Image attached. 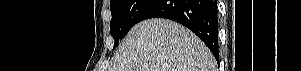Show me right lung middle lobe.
I'll list each match as a JSON object with an SVG mask.
<instances>
[{
  "mask_svg": "<svg viewBox=\"0 0 301 71\" xmlns=\"http://www.w3.org/2000/svg\"><path fill=\"white\" fill-rule=\"evenodd\" d=\"M155 0H111L110 32L114 47L140 21V16Z\"/></svg>",
  "mask_w": 301,
  "mask_h": 71,
  "instance_id": "dd1d6c3e",
  "label": "right lung middle lobe"
}]
</instances>
